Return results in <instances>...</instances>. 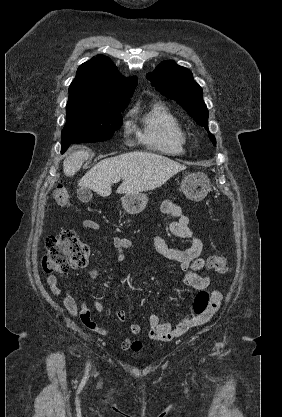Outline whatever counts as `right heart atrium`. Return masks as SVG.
Masks as SVG:
<instances>
[{
	"label": "right heart atrium",
	"mask_w": 282,
	"mask_h": 417,
	"mask_svg": "<svg viewBox=\"0 0 282 417\" xmlns=\"http://www.w3.org/2000/svg\"><path fill=\"white\" fill-rule=\"evenodd\" d=\"M131 131H132V129H131V127L128 125V126L126 127V134H127V135H129V134L131 133Z\"/></svg>",
	"instance_id": "d8ad5b80"
}]
</instances>
